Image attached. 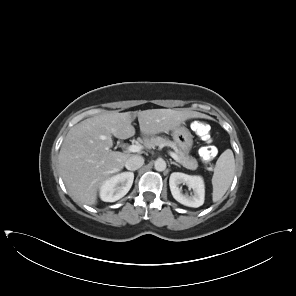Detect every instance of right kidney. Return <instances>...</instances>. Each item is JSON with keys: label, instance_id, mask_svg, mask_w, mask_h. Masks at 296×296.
Listing matches in <instances>:
<instances>
[{"label": "right kidney", "instance_id": "1", "mask_svg": "<svg viewBox=\"0 0 296 296\" xmlns=\"http://www.w3.org/2000/svg\"><path fill=\"white\" fill-rule=\"evenodd\" d=\"M134 180L132 172H122L107 180L100 187V199L104 202H115L124 197Z\"/></svg>", "mask_w": 296, "mask_h": 296}]
</instances>
